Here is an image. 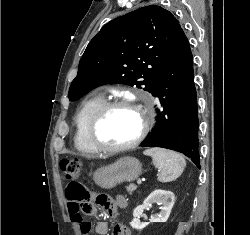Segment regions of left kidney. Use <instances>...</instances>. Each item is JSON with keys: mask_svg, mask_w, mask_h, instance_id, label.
<instances>
[{"mask_svg": "<svg viewBox=\"0 0 250 235\" xmlns=\"http://www.w3.org/2000/svg\"><path fill=\"white\" fill-rule=\"evenodd\" d=\"M175 196L174 193L168 190L157 189L153 191L143 202L142 205L137 206L133 211V220L130 222L132 228L136 230L144 229L149 223L140 222V216L144 209L150 208L153 203H157L160 206V212L155 216H151L150 222H166L171 213L174 205Z\"/></svg>", "mask_w": 250, "mask_h": 235, "instance_id": "left-kidney-1", "label": "left kidney"}]
</instances>
